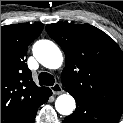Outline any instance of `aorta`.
Here are the masks:
<instances>
[{"instance_id": "1", "label": "aorta", "mask_w": 123, "mask_h": 123, "mask_svg": "<svg viewBox=\"0 0 123 123\" xmlns=\"http://www.w3.org/2000/svg\"><path fill=\"white\" fill-rule=\"evenodd\" d=\"M33 54L44 67L49 69H57L63 62L59 47L50 40L37 41L33 45ZM75 107V100L70 94H62L55 101V108L61 115L72 114Z\"/></svg>"}]
</instances>
